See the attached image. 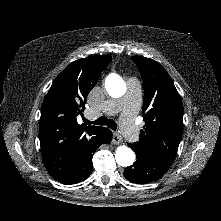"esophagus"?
Returning a JSON list of instances; mask_svg holds the SVG:
<instances>
[{"mask_svg":"<svg viewBox=\"0 0 221 221\" xmlns=\"http://www.w3.org/2000/svg\"><path fill=\"white\" fill-rule=\"evenodd\" d=\"M123 141L121 135L118 132H113L112 144L118 145Z\"/></svg>","mask_w":221,"mask_h":221,"instance_id":"34e87169","label":"esophagus"}]
</instances>
